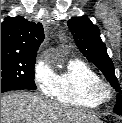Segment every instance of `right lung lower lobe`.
<instances>
[{
	"mask_svg": "<svg viewBox=\"0 0 122 123\" xmlns=\"http://www.w3.org/2000/svg\"><path fill=\"white\" fill-rule=\"evenodd\" d=\"M18 89H23V88L15 86V85H7V84L1 85V93L10 91V90H18Z\"/></svg>",
	"mask_w": 122,
	"mask_h": 123,
	"instance_id": "obj_1",
	"label": "right lung lower lobe"
}]
</instances>
